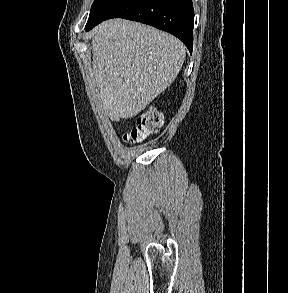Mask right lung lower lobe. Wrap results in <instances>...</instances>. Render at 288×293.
Listing matches in <instances>:
<instances>
[{"label":"right lung lower lobe","mask_w":288,"mask_h":293,"mask_svg":"<svg viewBox=\"0 0 288 293\" xmlns=\"http://www.w3.org/2000/svg\"><path fill=\"white\" fill-rule=\"evenodd\" d=\"M111 18L134 20L169 32L179 38L192 52V0H125L105 20ZM93 27L87 28L86 31Z\"/></svg>","instance_id":"98d812e1"}]
</instances>
